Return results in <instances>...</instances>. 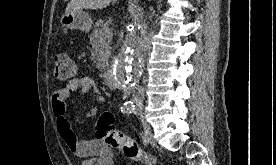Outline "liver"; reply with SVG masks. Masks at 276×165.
I'll return each mask as SVG.
<instances>
[{
    "instance_id": "1",
    "label": "liver",
    "mask_w": 276,
    "mask_h": 165,
    "mask_svg": "<svg viewBox=\"0 0 276 165\" xmlns=\"http://www.w3.org/2000/svg\"><path fill=\"white\" fill-rule=\"evenodd\" d=\"M112 1L113 3L117 2V0H71L66 7L65 13L82 11L83 9H103L109 6Z\"/></svg>"
}]
</instances>
